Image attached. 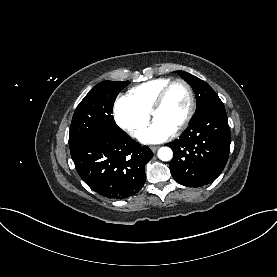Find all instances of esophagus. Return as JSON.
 Here are the masks:
<instances>
[{"label": "esophagus", "instance_id": "esophagus-1", "mask_svg": "<svg viewBox=\"0 0 277 277\" xmlns=\"http://www.w3.org/2000/svg\"><path fill=\"white\" fill-rule=\"evenodd\" d=\"M150 148H151L152 152H156L158 150L159 146H151Z\"/></svg>", "mask_w": 277, "mask_h": 277}]
</instances>
